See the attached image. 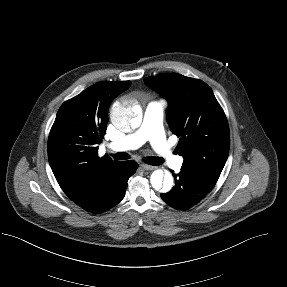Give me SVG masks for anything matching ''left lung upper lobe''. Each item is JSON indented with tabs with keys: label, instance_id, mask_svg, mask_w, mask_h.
<instances>
[{
	"label": "left lung upper lobe",
	"instance_id": "5c2ea615",
	"mask_svg": "<svg viewBox=\"0 0 287 287\" xmlns=\"http://www.w3.org/2000/svg\"><path fill=\"white\" fill-rule=\"evenodd\" d=\"M144 82L168 100L167 121L181 138L177 149L184 158L182 167L214 186L228 157L230 135L212 89L177 73L148 77Z\"/></svg>",
	"mask_w": 287,
	"mask_h": 287
}]
</instances>
